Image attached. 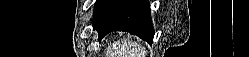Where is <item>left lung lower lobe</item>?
<instances>
[{"label": "left lung lower lobe", "instance_id": "left-lung-lower-lobe-1", "mask_svg": "<svg viewBox=\"0 0 249 57\" xmlns=\"http://www.w3.org/2000/svg\"><path fill=\"white\" fill-rule=\"evenodd\" d=\"M92 26L99 40L112 31H128L150 44L154 37L148 0H107L94 15Z\"/></svg>", "mask_w": 249, "mask_h": 57}]
</instances>
